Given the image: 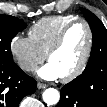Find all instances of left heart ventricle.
<instances>
[{"mask_svg": "<svg viewBox=\"0 0 107 107\" xmlns=\"http://www.w3.org/2000/svg\"><path fill=\"white\" fill-rule=\"evenodd\" d=\"M87 40L84 25L76 24L69 30L62 47L50 57L49 62L55 65L61 77L70 74L78 67L84 55Z\"/></svg>", "mask_w": 107, "mask_h": 107, "instance_id": "1", "label": "left heart ventricle"}]
</instances>
